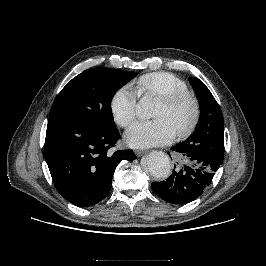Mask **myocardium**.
Instances as JSON below:
<instances>
[{
	"instance_id": "1",
	"label": "myocardium",
	"mask_w": 266,
	"mask_h": 266,
	"mask_svg": "<svg viewBox=\"0 0 266 266\" xmlns=\"http://www.w3.org/2000/svg\"><path fill=\"white\" fill-rule=\"evenodd\" d=\"M160 101L170 108L177 107L183 103H189L192 106V115L188 124L176 131L177 136L187 137L196 129L201 117V105L197 96L189 91L177 92L162 96Z\"/></svg>"
}]
</instances>
